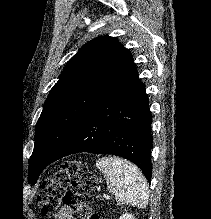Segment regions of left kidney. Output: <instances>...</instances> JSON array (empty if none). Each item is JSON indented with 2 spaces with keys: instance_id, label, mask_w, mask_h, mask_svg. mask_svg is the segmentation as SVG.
Wrapping results in <instances>:
<instances>
[{
  "instance_id": "1",
  "label": "left kidney",
  "mask_w": 211,
  "mask_h": 219,
  "mask_svg": "<svg viewBox=\"0 0 211 219\" xmlns=\"http://www.w3.org/2000/svg\"><path fill=\"white\" fill-rule=\"evenodd\" d=\"M119 219H135V217L132 214L125 213L122 216H120Z\"/></svg>"
}]
</instances>
